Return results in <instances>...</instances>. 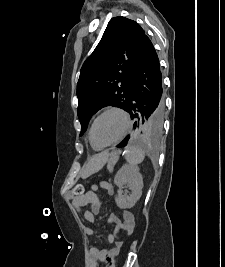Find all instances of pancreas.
Returning a JSON list of instances; mask_svg holds the SVG:
<instances>
[{
  "instance_id": "cf45deb5",
  "label": "pancreas",
  "mask_w": 225,
  "mask_h": 267,
  "mask_svg": "<svg viewBox=\"0 0 225 267\" xmlns=\"http://www.w3.org/2000/svg\"><path fill=\"white\" fill-rule=\"evenodd\" d=\"M115 163H116V160H111V161L108 162V169H109L110 172L113 171V166H114Z\"/></svg>"
}]
</instances>
